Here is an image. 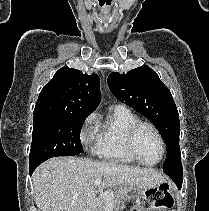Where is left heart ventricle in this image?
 <instances>
[{
  "label": "left heart ventricle",
  "mask_w": 209,
  "mask_h": 211,
  "mask_svg": "<svg viewBox=\"0 0 209 211\" xmlns=\"http://www.w3.org/2000/svg\"><path fill=\"white\" fill-rule=\"evenodd\" d=\"M135 149L139 157L146 163L158 161L161 145L157 136L148 128H142L135 141Z\"/></svg>",
  "instance_id": "left-heart-ventricle-1"
}]
</instances>
